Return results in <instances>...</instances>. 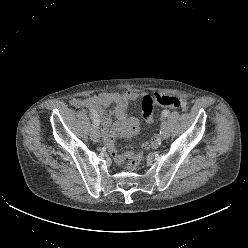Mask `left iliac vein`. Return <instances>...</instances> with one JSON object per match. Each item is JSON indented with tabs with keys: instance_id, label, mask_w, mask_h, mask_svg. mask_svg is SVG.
I'll use <instances>...</instances> for the list:
<instances>
[{
	"instance_id": "1",
	"label": "left iliac vein",
	"mask_w": 248,
	"mask_h": 248,
	"mask_svg": "<svg viewBox=\"0 0 248 248\" xmlns=\"http://www.w3.org/2000/svg\"><path fill=\"white\" fill-rule=\"evenodd\" d=\"M161 132H162V137L164 139H167L169 137V131H168V127L165 121L162 122L161 125Z\"/></svg>"
}]
</instances>
